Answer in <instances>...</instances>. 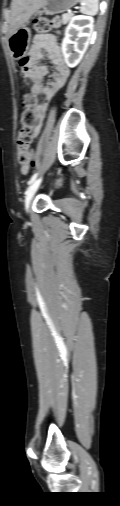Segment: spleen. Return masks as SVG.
Returning <instances> with one entry per match:
<instances>
[{
  "mask_svg": "<svg viewBox=\"0 0 120 506\" xmlns=\"http://www.w3.org/2000/svg\"><path fill=\"white\" fill-rule=\"evenodd\" d=\"M80 11L87 15H96L98 12V1L99 0H79Z\"/></svg>",
  "mask_w": 120,
  "mask_h": 506,
  "instance_id": "obj_1",
  "label": "spleen"
}]
</instances>
